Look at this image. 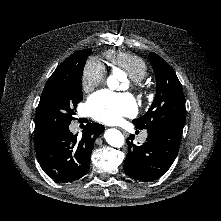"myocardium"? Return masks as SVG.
I'll return each instance as SVG.
<instances>
[{
    "instance_id": "f54148a6",
    "label": "myocardium",
    "mask_w": 221,
    "mask_h": 221,
    "mask_svg": "<svg viewBox=\"0 0 221 221\" xmlns=\"http://www.w3.org/2000/svg\"><path fill=\"white\" fill-rule=\"evenodd\" d=\"M131 87L138 94H144L145 93V87L141 82L132 81Z\"/></svg>"
}]
</instances>
